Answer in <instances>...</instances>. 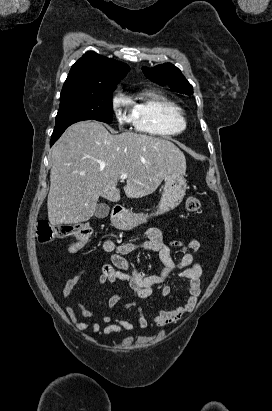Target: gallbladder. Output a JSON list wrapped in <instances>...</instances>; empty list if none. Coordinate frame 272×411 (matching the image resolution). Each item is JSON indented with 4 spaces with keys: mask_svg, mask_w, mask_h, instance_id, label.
<instances>
[{
    "mask_svg": "<svg viewBox=\"0 0 272 411\" xmlns=\"http://www.w3.org/2000/svg\"><path fill=\"white\" fill-rule=\"evenodd\" d=\"M110 207L105 203H100L96 207L95 216L99 219L106 218L109 214Z\"/></svg>",
    "mask_w": 272,
    "mask_h": 411,
    "instance_id": "bac80fb5",
    "label": "gallbladder"
}]
</instances>
